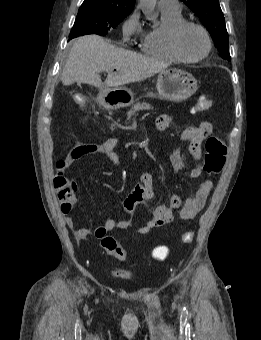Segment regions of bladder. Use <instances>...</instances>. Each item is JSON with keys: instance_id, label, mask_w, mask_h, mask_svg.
<instances>
[{"instance_id": "obj_1", "label": "bladder", "mask_w": 261, "mask_h": 340, "mask_svg": "<svg viewBox=\"0 0 261 340\" xmlns=\"http://www.w3.org/2000/svg\"><path fill=\"white\" fill-rule=\"evenodd\" d=\"M121 279H129L130 276L127 274H118Z\"/></svg>"}]
</instances>
